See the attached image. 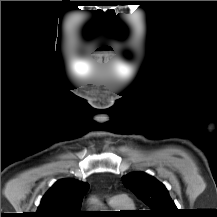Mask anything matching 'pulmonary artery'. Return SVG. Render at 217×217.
<instances>
[{
  "label": "pulmonary artery",
  "mask_w": 217,
  "mask_h": 217,
  "mask_svg": "<svg viewBox=\"0 0 217 217\" xmlns=\"http://www.w3.org/2000/svg\"><path fill=\"white\" fill-rule=\"evenodd\" d=\"M127 201V197L122 194H116L109 200V203H124Z\"/></svg>",
  "instance_id": "1"
}]
</instances>
